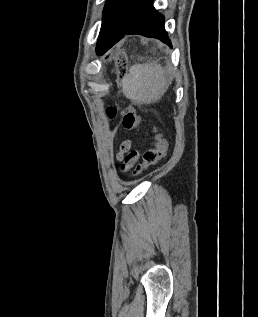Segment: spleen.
<instances>
[{"label":"spleen","mask_w":258,"mask_h":317,"mask_svg":"<svg viewBox=\"0 0 258 317\" xmlns=\"http://www.w3.org/2000/svg\"><path fill=\"white\" fill-rule=\"evenodd\" d=\"M123 94L137 104L156 102L166 92L170 80L157 62L134 64L123 78Z\"/></svg>","instance_id":"obj_1"}]
</instances>
